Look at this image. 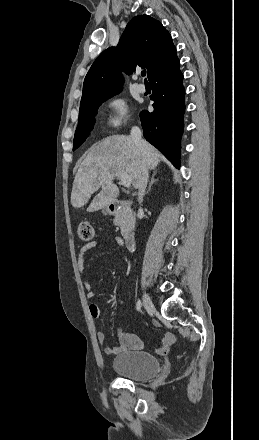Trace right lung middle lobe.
I'll list each match as a JSON object with an SVG mask.
<instances>
[{
	"instance_id": "right-lung-middle-lobe-1",
	"label": "right lung middle lobe",
	"mask_w": 259,
	"mask_h": 440,
	"mask_svg": "<svg viewBox=\"0 0 259 440\" xmlns=\"http://www.w3.org/2000/svg\"><path fill=\"white\" fill-rule=\"evenodd\" d=\"M119 92L80 106L78 126L74 136L73 151L86 140L90 131L93 129L95 123V114L101 103Z\"/></svg>"
}]
</instances>
